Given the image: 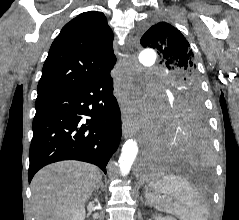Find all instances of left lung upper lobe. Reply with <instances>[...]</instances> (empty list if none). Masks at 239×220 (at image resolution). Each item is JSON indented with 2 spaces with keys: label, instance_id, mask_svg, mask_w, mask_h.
Instances as JSON below:
<instances>
[{
  "label": "left lung upper lobe",
  "instance_id": "1",
  "mask_svg": "<svg viewBox=\"0 0 239 220\" xmlns=\"http://www.w3.org/2000/svg\"><path fill=\"white\" fill-rule=\"evenodd\" d=\"M141 44L157 50L167 68L176 74L175 82L168 88L166 108L178 111L196 108L204 112L194 54L183 34L174 26L159 22L147 29Z\"/></svg>",
  "mask_w": 239,
  "mask_h": 220
}]
</instances>
